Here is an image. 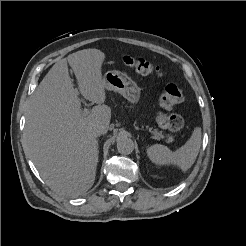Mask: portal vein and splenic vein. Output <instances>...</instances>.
<instances>
[{
	"label": "portal vein and splenic vein",
	"instance_id": "18ae733b",
	"mask_svg": "<svg viewBox=\"0 0 246 246\" xmlns=\"http://www.w3.org/2000/svg\"><path fill=\"white\" fill-rule=\"evenodd\" d=\"M82 113H83L84 116H87L88 113H89V110L85 107L84 110L82 111ZM149 132L152 133L153 135H155L156 138H164L163 135L158 134V133H155L154 131H151V130H150Z\"/></svg>",
	"mask_w": 246,
	"mask_h": 246
}]
</instances>
